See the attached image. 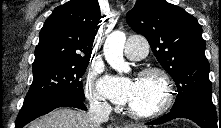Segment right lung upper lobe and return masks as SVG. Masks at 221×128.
I'll list each match as a JSON object with an SVG mask.
<instances>
[{"mask_svg": "<svg viewBox=\"0 0 221 128\" xmlns=\"http://www.w3.org/2000/svg\"><path fill=\"white\" fill-rule=\"evenodd\" d=\"M101 18L97 0H70L56 7L40 31L32 70L90 60Z\"/></svg>", "mask_w": 221, "mask_h": 128, "instance_id": "cb5924a9", "label": "right lung upper lobe"}]
</instances>
